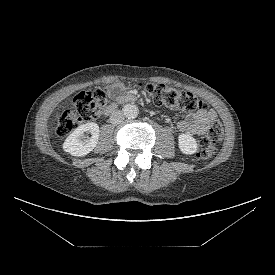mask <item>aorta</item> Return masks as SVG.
<instances>
[{
  "mask_svg": "<svg viewBox=\"0 0 275 275\" xmlns=\"http://www.w3.org/2000/svg\"><path fill=\"white\" fill-rule=\"evenodd\" d=\"M123 114L125 117L129 118V119H133L136 118L139 114V109L135 104H125L123 106Z\"/></svg>",
  "mask_w": 275,
  "mask_h": 275,
  "instance_id": "aorta-1",
  "label": "aorta"
}]
</instances>
